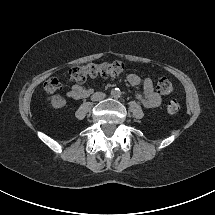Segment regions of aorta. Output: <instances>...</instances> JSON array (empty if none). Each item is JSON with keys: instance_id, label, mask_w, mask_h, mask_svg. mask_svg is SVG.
<instances>
[{"instance_id": "762f6f07", "label": "aorta", "mask_w": 215, "mask_h": 215, "mask_svg": "<svg viewBox=\"0 0 215 215\" xmlns=\"http://www.w3.org/2000/svg\"><path fill=\"white\" fill-rule=\"evenodd\" d=\"M111 95H112L113 97H119V96L121 95V91H120L119 89H113V90L111 91Z\"/></svg>"}]
</instances>
